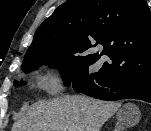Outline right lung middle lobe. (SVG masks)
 Here are the masks:
<instances>
[{"label": "right lung middle lobe", "mask_w": 151, "mask_h": 131, "mask_svg": "<svg viewBox=\"0 0 151 131\" xmlns=\"http://www.w3.org/2000/svg\"><path fill=\"white\" fill-rule=\"evenodd\" d=\"M43 63H49L50 67L60 70L66 86L72 84L76 79L104 78L98 72H89V66L95 61L88 57L87 53L68 45L31 46L27 50L22 63L24 71H32ZM15 85L19 82L15 81Z\"/></svg>", "instance_id": "right-lung-middle-lobe-1"}]
</instances>
